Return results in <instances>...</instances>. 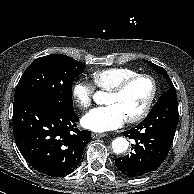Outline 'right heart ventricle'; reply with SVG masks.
Here are the masks:
<instances>
[{
    "label": "right heart ventricle",
    "instance_id": "right-heart-ventricle-1",
    "mask_svg": "<svg viewBox=\"0 0 194 194\" xmlns=\"http://www.w3.org/2000/svg\"><path fill=\"white\" fill-rule=\"evenodd\" d=\"M137 74L130 68L114 67L97 70L91 73L93 84L102 91H109L122 80Z\"/></svg>",
    "mask_w": 194,
    "mask_h": 194
}]
</instances>
